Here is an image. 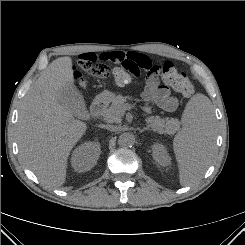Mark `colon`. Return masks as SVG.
Wrapping results in <instances>:
<instances>
[{"label":"colon","mask_w":245,"mask_h":245,"mask_svg":"<svg viewBox=\"0 0 245 245\" xmlns=\"http://www.w3.org/2000/svg\"><path fill=\"white\" fill-rule=\"evenodd\" d=\"M79 66L88 74L97 78H112L117 85H126L132 76L140 73L137 63L130 59H123L116 66L111 67L100 60L94 53H83L78 58ZM148 79H161L166 85L172 87L185 97H190L194 92L192 81L182 72H179L174 64L169 60H164L159 64L151 66L147 70ZM80 85H85V81L79 73L75 74Z\"/></svg>","instance_id":"colon-1"}]
</instances>
